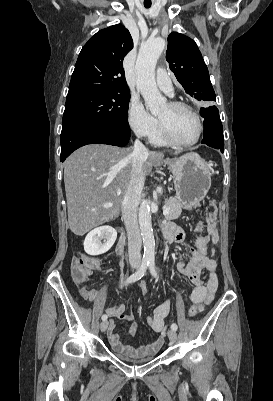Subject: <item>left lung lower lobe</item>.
I'll list each match as a JSON object with an SVG mask.
<instances>
[{
    "label": "left lung lower lobe",
    "mask_w": 273,
    "mask_h": 401,
    "mask_svg": "<svg viewBox=\"0 0 273 401\" xmlns=\"http://www.w3.org/2000/svg\"><path fill=\"white\" fill-rule=\"evenodd\" d=\"M200 113L205 119V131L203 134L202 143L210 147L220 149L221 152H223L224 136L218 109L216 106H210L208 108H201Z\"/></svg>",
    "instance_id": "obj_1"
}]
</instances>
